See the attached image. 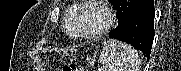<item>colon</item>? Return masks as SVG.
<instances>
[{"label":"colon","mask_w":181,"mask_h":71,"mask_svg":"<svg viewBox=\"0 0 181 71\" xmlns=\"http://www.w3.org/2000/svg\"><path fill=\"white\" fill-rule=\"evenodd\" d=\"M63 71H82V69L76 67L75 65H65L62 68Z\"/></svg>","instance_id":"1"}]
</instances>
